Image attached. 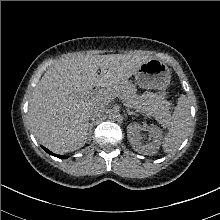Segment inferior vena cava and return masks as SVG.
<instances>
[{"label":"inferior vena cava","instance_id":"inferior-vena-cava-1","mask_svg":"<svg viewBox=\"0 0 220 220\" xmlns=\"http://www.w3.org/2000/svg\"><path fill=\"white\" fill-rule=\"evenodd\" d=\"M105 112V106L104 105H101V106H97V107H94L90 114H89V117L91 120H95L96 118L100 117L103 113Z\"/></svg>","mask_w":220,"mask_h":220}]
</instances>
